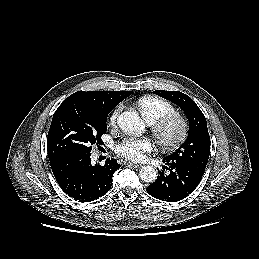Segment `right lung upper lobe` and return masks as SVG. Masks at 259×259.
<instances>
[{"label": "right lung upper lobe", "instance_id": "right-lung-upper-lobe-1", "mask_svg": "<svg viewBox=\"0 0 259 259\" xmlns=\"http://www.w3.org/2000/svg\"><path fill=\"white\" fill-rule=\"evenodd\" d=\"M131 91H78L70 95L65 101L79 100L111 110L126 97L131 95Z\"/></svg>", "mask_w": 259, "mask_h": 259}]
</instances>
